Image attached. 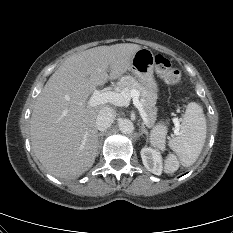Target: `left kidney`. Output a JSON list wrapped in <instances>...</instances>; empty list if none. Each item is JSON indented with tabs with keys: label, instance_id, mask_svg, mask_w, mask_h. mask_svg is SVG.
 <instances>
[{
	"label": "left kidney",
	"instance_id": "5707ae66",
	"mask_svg": "<svg viewBox=\"0 0 233 233\" xmlns=\"http://www.w3.org/2000/svg\"><path fill=\"white\" fill-rule=\"evenodd\" d=\"M140 153L145 168L155 175H161L163 165L160 151L151 147H144Z\"/></svg>",
	"mask_w": 233,
	"mask_h": 233
}]
</instances>
